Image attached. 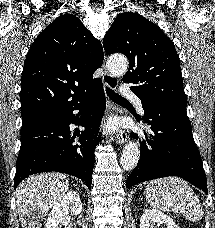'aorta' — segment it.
<instances>
[{
  "label": "aorta",
  "instance_id": "1",
  "mask_svg": "<svg viewBox=\"0 0 215 228\" xmlns=\"http://www.w3.org/2000/svg\"><path fill=\"white\" fill-rule=\"evenodd\" d=\"M108 68L113 74H125L129 68V62L125 56H115V58H111ZM139 158L140 148L138 144L136 142H128L120 158L123 170H126V172L134 170L139 162Z\"/></svg>",
  "mask_w": 215,
  "mask_h": 228
}]
</instances>
